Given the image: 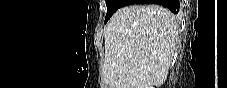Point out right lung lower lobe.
Here are the masks:
<instances>
[{
  "label": "right lung lower lobe",
  "instance_id": "1",
  "mask_svg": "<svg viewBox=\"0 0 227 88\" xmlns=\"http://www.w3.org/2000/svg\"><path fill=\"white\" fill-rule=\"evenodd\" d=\"M142 3H155L163 5L170 9L174 14L178 13L180 8L179 0H129L127 5Z\"/></svg>",
  "mask_w": 227,
  "mask_h": 88
}]
</instances>
